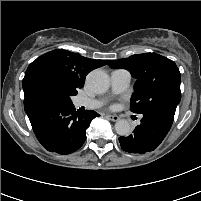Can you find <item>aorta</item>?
<instances>
[{
  "label": "aorta",
  "mask_w": 201,
  "mask_h": 201,
  "mask_svg": "<svg viewBox=\"0 0 201 201\" xmlns=\"http://www.w3.org/2000/svg\"><path fill=\"white\" fill-rule=\"evenodd\" d=\"M87 86L95 93H104L109 88V77L103 70H93L86 78ZM115 130L120 136H128L131 131V125L127 120H119L115 124Z\"/></svg>",
  "instance_id": "1"
}]
</instances>
